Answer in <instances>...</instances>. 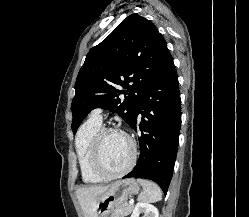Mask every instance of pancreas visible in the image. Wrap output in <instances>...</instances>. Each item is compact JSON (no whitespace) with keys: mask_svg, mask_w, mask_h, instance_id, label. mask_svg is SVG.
Masks as SVG:
<instances>
[{"mask_svg":"<svg viewBox=\"0 0 249 217\" xmlns=\"http://www.w3.org/2000/svg\"><path fill=\"white\" fill-rule=\"evenodd\" d=\"M133 208V204L123 203L112 212L110 217H126L131 214Z\"/></svg>","mask_w":249,"mask_h":217,"instance_id":"pancreas-1","label":"pancreas"}]
</instances>
